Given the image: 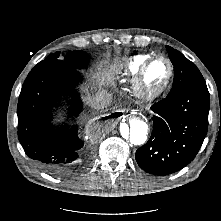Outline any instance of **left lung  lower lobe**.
<instances>
[{
  "label": "left lung lower lobe",
  "instance_id": "left-lung-lower-lobe-1",
  "mask_svg": "<svg viewBox=\"0 0 221 221\" xmlns=\"http://www.w3.org/2000/svg\"><path fill=\"white\" fill-rule=\"evenodd\" d=\"M153 131L136 151L140 168L153 175H168L189 164L207 134L209 92L207 86L183 90L150 108Z\"/></svg>",
  "mask_w": 221,
  "mask_h": 221
}]
</instances>
